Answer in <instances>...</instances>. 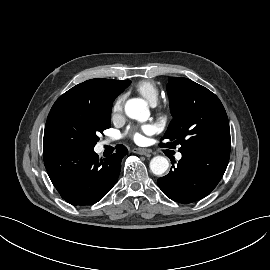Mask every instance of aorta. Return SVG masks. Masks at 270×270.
Masks as SVG:
<instances>
[{"instance_id": "762f6f07", "label": "aorta", "mask_w": 270, "mask_h": 270, "mask_svg": "<svg viewBox=\"0 0 270 270\" xmlns=\"http://www.w3.org/2000/svg\"><path fill=\"white\" fill-rule=\"evenodd\" d=\"M125 112L128 117L138 121H146L150 112L147 103L143 99H130L125 104ZM169 167L168 160L163 156H156L150 161V169L154 175H163Z\"/></svg>"}]
</instances>
